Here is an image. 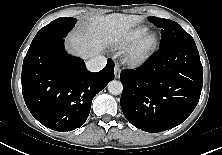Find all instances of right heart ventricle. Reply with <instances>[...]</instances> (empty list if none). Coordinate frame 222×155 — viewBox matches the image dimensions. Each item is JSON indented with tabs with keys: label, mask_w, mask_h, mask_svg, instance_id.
I'll return each instance as SVG.
<instances>
[{
	"label": "right heart ventricle",
	"mask_w": 222,
	"mask_h": 155,
	"mask_svg": "<svg viewBox=\"0 0 222 155\" xmlns=\"http://www.w3.org/2000/svg\"><path fill=\"white\" fill-rule=\"evenodd\" d=\"M148 31L147 26H138L126 31L119 39L120 46H127L136 42Z\"/></svg>",
	"instance_id": "e07e8e85"
}]
</instances>
